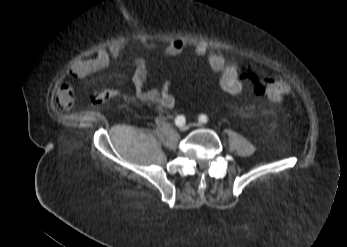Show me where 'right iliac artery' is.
<instances>
[{"instance_id":"82829eb1","label":"right iliac artery","mask_w":347,"mask_h":247,"mask_svg":"<svg viewBox=\"0 0 347 247\" xmlns=\"http://www.w3.org/2000/svg\"><path fill=\"white\" fill-rule=\"evenodd\" d=\"M185 122H186V119L183 115H179L175 118V124L179 127L183 126Z\"/></svg>"}]
</instances>
